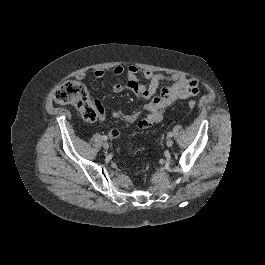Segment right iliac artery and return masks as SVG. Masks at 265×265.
Returning <instances> with one entry per match:
<instances>
[{
    "label": "right iliac artery",
    "mask_w": 265,
    "mask_h": 265,
    "mask_svg": "<svg viewBox=\"0 0 265 265\" xmlns=\"http://www.w3.org/2000/svg\"><path fill=\"white\" fill-rule=\"evenodd\" d=\"M102 139H103L104 141H106V140L108 139V137H107L106 135H104V136H102Z\"/></svg>",
    "instance_id": "obj_1"
}]
</instances>
